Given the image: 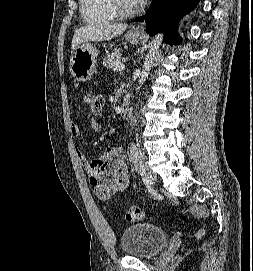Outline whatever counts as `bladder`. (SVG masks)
<instances>
[{
	"label": "bladder",
	"mask_w": 253,
	"mask_h": 271,
	"mask_svg": "<svg viewBox=\"0 0 253 271\" xmlns=\"http://www.w3.org/2000/svg\"><path fill=\"white\" fill-rule=\"evenodd\" d=\"M120 242L127 256L147 259L155 256L166 246L167 234L158 226L142 222L123 230Z\"/></svg>",
	"instance_id": "1"
}]
</instances>
